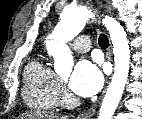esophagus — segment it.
I'll return each instance as SVG.
<instances>
[{
    "mask_svg": "<svg viewBox=\"0 0 142 119\" xmlns=\"http://www.w3.org/2000/svg\"><path fill=\"white\" fill-rule=\"evenodd\" d=\"M108 55H109V57H111V49H109ZM94 114H95V105L91 106L86 112L79 115L78 118L79 119H91Z\"/></svg>",
    "mask_w": 142,
    "mask_h": 119,
    "instance_id": "34e87169",
    "label": "esophagus"
}]
</instances>
